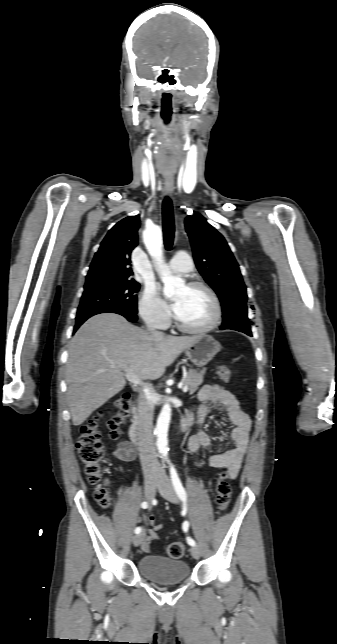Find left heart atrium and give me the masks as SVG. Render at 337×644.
Returning a JSON list of instances; mask_svg holds the SVG:
<instances>
[{
	"instance_id": "left-heart-atrium-1",
	"label": "left heart atrium",
	"mask_w": 337,
	"mask_h": 644,
	"mask_svg": "<svg viewBox=\"0 0 337 644\" xmlns=\"http://www.w3.org/2000/svg\"><path fill=\"white\" fill-rule=\"evenodd\" d=\"M171 310L175 313L178 308V302H173L170 306Z\"/></svg>"
}]
</instances>
